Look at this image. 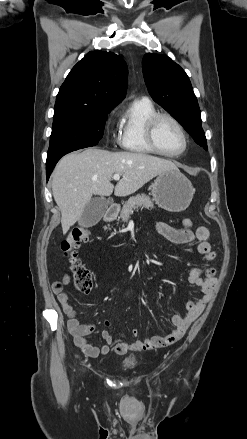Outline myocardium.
<instances>
[{
    "label": "myocardium",
    "mask_w": 247,
    "mask_h": 439,
    "mask_svg": "<svg viewBox=\"0 0 247 439\" xmlns=\"http://www.w3.org/2000/svg\"><path fill=\"white\" fill-rule=\"evenodd\" d=\"M162 119L170 120L178 128L179 132L181 133V136L183 138V147L180 151H178L176 153L165 152V151L161 150L159 148V146L157 145V142L155 139V130H156V126H157L158 122ZM145 135H146L147 143L153 149V151L155 153H158V154L165 156V157H169V158L179 157L182 154H184L188 148V136H187V133H186L183 125L180 123V121L177 118H175L174 116H172L171 114H168V113H157L154 116H152L146 124Z\"/></svg>",
    "instance_id": "f54148a6"
}]
</instances>
